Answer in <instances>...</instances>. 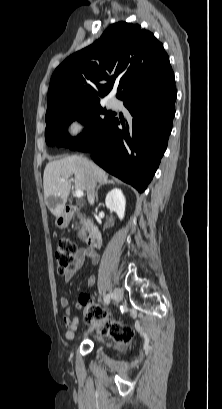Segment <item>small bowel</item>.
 Wrapping results in <instances>:
<instances>
[{
    "label": "small bowel",
    "mask_w": 222,
    "mask_h": 409,
    "mask_svg": "<svg viewBox=\"0 0 222 409\" xmlns=\"http://www.w3.org/2000/svg\"><path fill=\"white\" fill-rule=\"evenodd\" d=\"M85 259H89L92 264L96 265L99 262V256L98 253L94 250L88 249V248H79L75 254L74 262L71 264L70 268L65 272L64 274V281L67 283L70 281L72 276L81 268L83 262ZM94 277L91 276L88 279V285H93L94 284ZM60 305L68 309L69 308V299L65 296H62L60 298ZM77 309H82L83 304L78 303L76 304ZM63 322L66 326V332H65V338L67 340H71L74 337V332L78 328L79 324V317H71L69 312H66L63 316ZM115 342V341H114ZM116 344L120 345V343L115 342Z\"/></svg>",
    "instance_id": "c3829d8e"
}]
</instances>
